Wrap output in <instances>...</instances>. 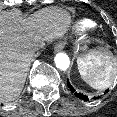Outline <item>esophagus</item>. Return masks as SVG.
<instances>
[{"label": "esophagus", "mask_w": 117, "mask_h": 117, "mask_svg": "<svg viewBox=\"0 0 117 117\" xmlns=\"http://www.w3.org/2000/svg\"><path fill=\"white\" fill-rule=\"evenodd\" d=\"M65 47V43L62 41H59L58 43H56V45L54 46V51L55 52H60L64 49Z\"/></svg>", "instance_id": "34e87169"}]
</instances>
